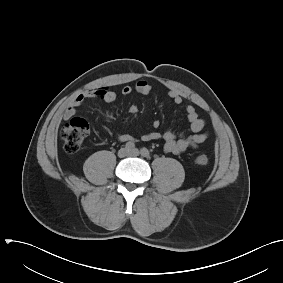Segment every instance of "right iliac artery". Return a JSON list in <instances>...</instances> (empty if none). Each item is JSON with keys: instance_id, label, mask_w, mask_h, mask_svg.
I'll return each instance as SVG.
<instances>
[{"instance_id": "obj_1", "label": "right iliac artery", "mask_w": 283, "mask_h": 283, "mask_svg": "<svg viewBox=\"0 0 283 283\" xmlns=\"http://www.w3.org/2000/svg\"><path fill=\"white\" fill-rule=\"evenodd\" d=\"M125 148L128 151H132L133 149H135V144L133 142H128V143L125 144Z\"/></svg>"}]
</instances>
